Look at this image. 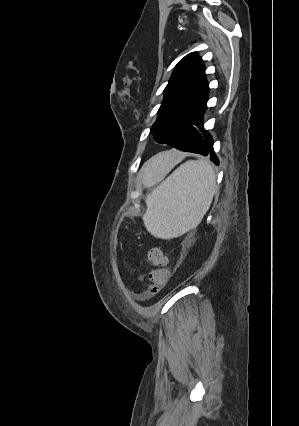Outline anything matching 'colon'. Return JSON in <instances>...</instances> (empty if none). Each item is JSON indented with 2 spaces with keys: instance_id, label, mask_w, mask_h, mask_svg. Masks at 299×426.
I'll list each match as a JSON object with an SVG mask.
<instances>
[{
  "instance_id": "1",
  "label": "colon",
  "mask_w": 299,
  "mask_h": 426,
  "mask_svg": "<svg viewBox=\"0 0 299 426\" xmlns=\"http://www.w3.org/2000/svg\"><path fill=\"white\" fill-rule=\"evenodd\" d=\"M147 258L154 268L149 272L148 282L145 285V294L148 297L157 295L166 285L170 271L161 248H152L148 251Z\"/></svg>"
}]
</instances>
